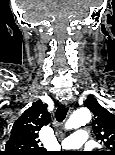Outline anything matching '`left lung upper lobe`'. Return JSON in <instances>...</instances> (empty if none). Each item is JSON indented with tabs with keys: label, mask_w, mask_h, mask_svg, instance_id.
Wrapping results in <instances>:
<instances>
[{
	"label": "left lung upper lobe",
	"mask_w": 115,
	"mask_h": 155,
	"mask_svg": "<svg viewBox=\"0 0 115 155\" xmlns=\"http://www.w3.org/2000/svg\"><path fill=\"white\" fill-rule=\"evenodd\" d=\"M84 106L93 113V130L96 138L106 147L97 155H115V115L102 107L93 96H88Z\"/></svg>",
	"instance_id": "left-lung-upper-lobe-1"
}]
</instances>
